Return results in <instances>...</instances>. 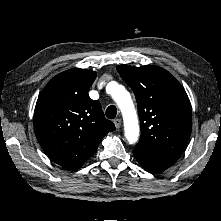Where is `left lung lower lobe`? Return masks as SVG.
I'll return each mask as SVG.
<instances>
[{"mask_svg": "<svg viewBox=\"0 0 221 221\" xmlns=\"http://www.w3.org/2000/svg\"><path fill=\"white\" fill-rule=\"evenodd\" d=\"M133 153L140 165L151 173H160L176 162L155 157L144 150L135 149Z\"/></svg>", "mask_w": 221, "mask_h": 221, "instance_id": "obj_1", "label": "left lung lower lobe"}]
</instances>
